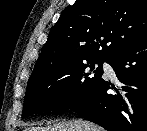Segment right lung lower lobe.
Instances as JSON below:
<instances>
[{
    "mask_svg": "<svg viewBox=\"0 0 147 131\" xmlns=\"http://www.w3.org/2000/svg\"><path fill=\"white\" fill-rule=\"evenodd\" d=\"M108 63L118 84L99 80L70 109L108 131H147V37L120 50ZM109 89L116 92L108 94Z\"/></svg>",
    "mask_w": 147,
    "mask_h": 131,
    "instance_id": "obj_1",
    "label": "right lung lower lobe"
}]
</instances>
